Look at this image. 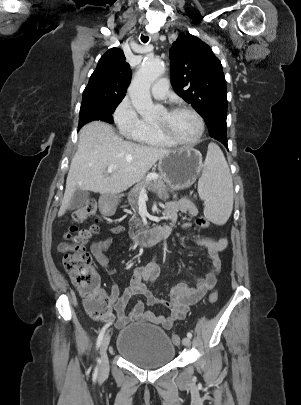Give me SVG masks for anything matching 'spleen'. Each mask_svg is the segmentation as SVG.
Instances as JSON below:
<instances>
[{
	"mask_svg": "<svg viewBox=\"0 0 301 405\" xmlns=\"http://www.w3.org/2000/svg\"><path fill=\"white\" fill-rule=\"evenodd\" d=\"M198 190L206 201V217L216 224H225L233 209V182L224 154L215 143L208 146Z\"/></svg>",
	"mask_w": 301,
	"mask_h": 405,
	"instance_id": "3e777b00",
	"label": "spleen"
}]
</instances>
